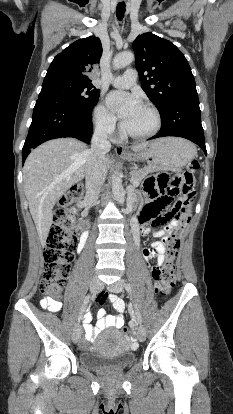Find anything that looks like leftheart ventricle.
I'll return each mask as SVG.
<instances>
[{
    "label": "left heart ventricle",
    "mask_w": 233,
    "mask_h": 414,
    "mask_svg": "<svg viewBox=\"0 0 233 414\" xmlns=\"http://www.w3.org/2000/svg\"><path fill=\"white\" fill-rule=\"evenodd\" d=\"M124 126L136 134L147 133L155 126V118L149 110L142 107L124 123Z\"/></svg>",
    "instance_id": "1"
}]
</instances>
